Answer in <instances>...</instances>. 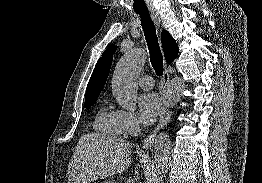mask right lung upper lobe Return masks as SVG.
Here are the masks:
<instances>
[{"instance_id":"cb5924a9","label":"right lung upper lobe","mask_w":262,"mask_h":183,"mask_svg":"<svg viewBox=\"0 0 262 183\" xmlns=\"http://www.w3.org/2000/svg\"><path fill=\"white\" fill-rule=\"evenodd\" d=\"M161 42L166 61L168 63H171L178 55V47L176 41L166 30H164L161 33ZM116 49V46L107 48L103 52L102 56L99 58L92 76L88 82L85 100L97 99V97L99 96L108 77L112 64L113 54L116 52Z\"/></svg>"}]
</instances>
